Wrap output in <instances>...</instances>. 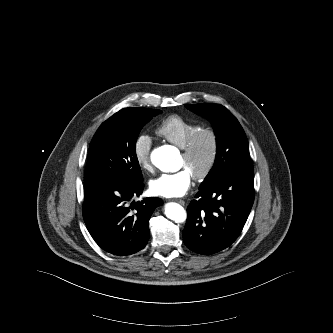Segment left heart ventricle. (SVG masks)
<instances>
[{
  "label": "left heart ventricle",
  "instance_id": "b2bd125f",
  "mask_svg": "<svg viewBox=\"0 0 333 333\" xmlns=\"http://www.w3.org/2000/svg\"><path fill=\"white\" fill-rule=\"evenodd\" d=\"M209 153V140L204 137L201 139L199 145L197 146L194 154L190 159H186L181 155L180 167L187 169L190 174L199 172L207 160Z\"/></svg>",
  "mask_w": 333,
  "mask_h": 333
}]
</instances>
